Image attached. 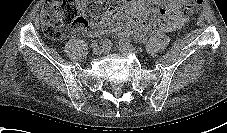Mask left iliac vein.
<instances>
[{
  "label": "left iliac vein",
  "mask_w": 227,
  "mask_h": 133,
  "mask_svg": "<svg viewBox=\"0 0 227 133\" xmlns=\"http://www.w3.org/2000/svg\"><path fill=\"white\" fill-rule=\"evenodd\" d=\"M119 50L121 52H131V53H136V49L134 46H132L130 43L126 44L124 42H119Z\"/></svg>",
  "instance_id": "left-iliac-vein-1"
}]
</instances>
